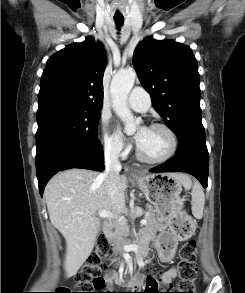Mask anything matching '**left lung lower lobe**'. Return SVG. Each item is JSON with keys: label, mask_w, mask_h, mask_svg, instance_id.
<instances>
[{"label": "left lung lower lobe", "mask_w": 245, "mask_h": 293, "mask_svg": "<svg viewBox=\"0 0 245 293\" xmlns=\"http://www.w3.org/2000/svg\"><path fill=\"white\" fill-rule=\"evenodd\" d=\"M150 172H185L196 177L203 187H207L208 151L206 141L196 139L179 140L177 152L166 163Z\"/></svg>", "instance_id": "0a47b994"}]
</instances>
